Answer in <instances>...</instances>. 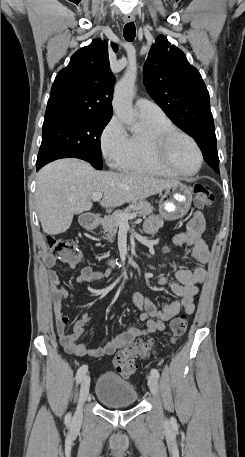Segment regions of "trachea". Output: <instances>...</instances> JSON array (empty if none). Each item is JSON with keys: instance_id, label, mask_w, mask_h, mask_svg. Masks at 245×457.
<instances>
[{"instance_id": "obj_1", "label": "trachea", "mask_w": 245, "mask_h": 457, "mask_svg": "<svg viewBox=\"0 0 245 457\" xmlns=\"http://www.w3.org/2000/svg\"><path fill=\"white\" fill-rule=\"evenodd\" d=\"M135 34H136V27H135L134 23L133 22L126 23L124 30H123L124 38L127 41L132 42L135 38Z\"/></svg>"}]
</instances>
